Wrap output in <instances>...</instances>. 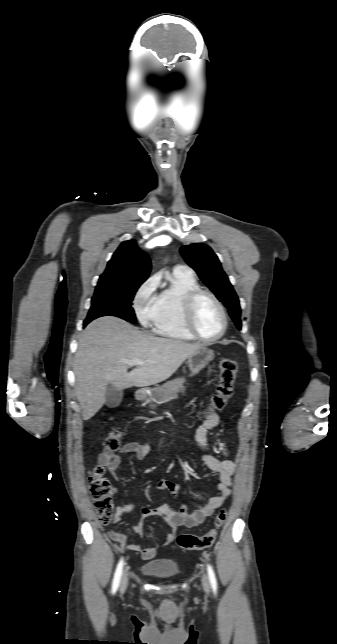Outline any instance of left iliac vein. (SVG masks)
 Returning a JSON list of instances; mask_svg holds the SVG:
<instances>
[{
    "label": "left iliac vein",
    "instance_id": "left-iliac-vein-1",
    "mask_svg": "<svg viewBox=\"0 0 337 644\" xmlns=\"http://www.w3.org/2000/svg\"><path fill=\"white\" fill-rule=\"evenodd\" d=\"M202 585L205 591H209L208 578L205 574L202 576Z\"/></svg>",
    "mask_w": 337,
    "mask_h": 644
}]
</instances>
